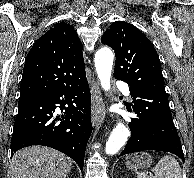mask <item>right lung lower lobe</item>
Returning a JSON list of instances; mask_svg holds the SVG:
<instances>
[{
    "mask_svg": "<svg viewBox=\"0 0 194 178\" xmlns=\"http://www.w3.org/2000/svg\"><path fill=\"white\" fill-rule=\"evenodd\" d=\"M90 104L86 78L73 86L19 99L11 155L26 146L44 145L71 157L82 171L92 132ZM57 105L65 110L61 117L54 114Z\"/></svg>",
    "mask_w": 194,
    "mask_h": 178,
    "instance_id": "right-lung-lower-lobe-1",
    "label": "right lung lower lobe"
}]
</instances>
